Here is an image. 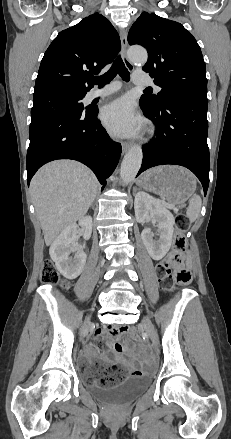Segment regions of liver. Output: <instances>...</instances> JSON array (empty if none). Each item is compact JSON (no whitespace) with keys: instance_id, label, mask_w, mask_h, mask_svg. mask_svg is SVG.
I'll list each match as a JSON object with an SVG mask.
<instances>
[{"instance_id":"6515ba94","label":"liver","mask_w":231,"mask_h":439,"mask_svg":"<svg viewBox=\"0 0 231 439\" xmlns=\"http://www.w3.org/2000/svg\"><path fill=\"white\" fill-rule=\"evenodd\" d=\"M98 187L94 173L77 161H53L37 171L30 192L46 245L85 216Z\"/></svg>"}]
</instances>
